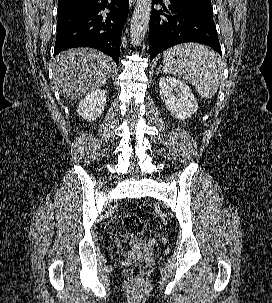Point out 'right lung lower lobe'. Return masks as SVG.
Listing matches in <instances>:
<instances>
[{"instance_id":"1","label":"right lung lower lobe","mask_w":272,"mask_h":303,"mask_svg":"<svg viewBox=\"0 0 272 303\" xmlns=\"http://www.w3.org/2000/svg\"><path fill=\"white\" fill-rule=\"evenodd\" d=\"M129 0H90L58 12L54 55L73 47H92L119 63L121 34ZM109 9V13H102Z\"/></svg>"}]
</instances>
